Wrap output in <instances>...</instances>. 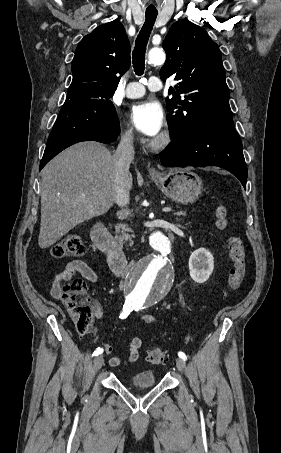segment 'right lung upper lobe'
Here are the masks:
<instances>
[{
	"label": "right lung upper lobe",
	"mask_w": 281,
	"mask_h": 453,
	"mask_svg": "<svg viewBox=\"0 0 281 453\" xmlns=\"http://www.w3.org/2000/svg\"><path fill=\"white\" fill-rule=\"evenodd\" d=\"M130 67V44L121 22L100 25L79 43L72 61L73 80L65 102L109 101Z\"/></svg>",
	"instance_id": "1"
}]
</instances>
